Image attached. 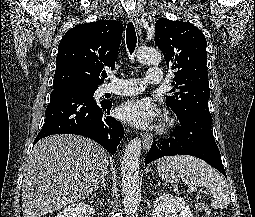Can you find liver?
Wrapping results in <instances>:
<instances>
[{"label":"liver","instance_id":"obj_1","mask_svg":"<svg viewBox=\"0 0 255 217\" xmlns=\"http://www.w3.org/2000/svg\"><path fill=\"white\" fill-rule=\"evenodd\" d=\"M108 155L78 135H53L33 148L24 171L23 217H41L88 197L106 176Z\"/></svg>","mask_w":255,"mask_h":217}]
</instances>
